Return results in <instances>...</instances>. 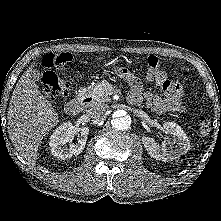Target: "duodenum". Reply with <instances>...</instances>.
Here are the masks:
<instances>
[{
	"instance_id": "obj_1",
	"label": "duodenum",
	"mask_w": 221,
	"mask_h": 221,
	"mask_svg": "<svg viewBox=\"0 0 221 221\" xmlns=\"http://www.w3.org/2000/svg\"><path fill=\"white\" fill-rule=\"evenodd\" d=\"M93 101L92 96L88 93H83L79 97L72 99L66 105V112L71 116L78 115L84 105H89Z\"/></svg>"
}]
</instances>
